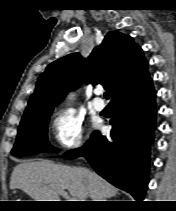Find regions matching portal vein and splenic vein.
Masks as SVG:
<instances>
[{"instance_id":"obj_1","label":"portal vein and splenic vein","mask_w":176,"mask_h":211,"mask_svg":"<svg viewBox=\"0 0 176 211\" xmlns=\"http://www.w3.org/2000/svg\"><path fill=\"white\" fill-rule=\"evenodd\" d=\"M58 193L64 196L67 201H78V199L70 197L64 190H59Z\"/></svg>"}]
</instances>
